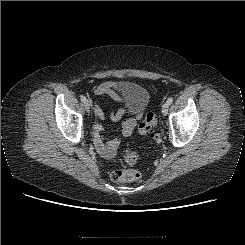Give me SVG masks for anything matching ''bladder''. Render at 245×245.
I'll use <instances>...</instances> for the list:
<instances>
[{
	"instance_id": "obj_1",
	"label": "bladder",
	"mask_w": 245,
	"mask_h": 245,
	"mask_svg": "<svg viewBox=\"0 0 245 245\" xmlns=\"http://www.w3.org/2000/svg\"><path fill=\"white\" fill-rule=\"evenodd\" d=\"M124 99L131 110H144L150 100L149 91L142 85L129 83L124 92Z\"/></svg>"
}]
</instances>
